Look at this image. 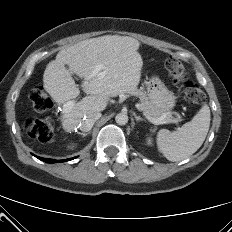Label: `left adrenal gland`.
<instances>
[{
    "instance_id": "1",
    "label": "left adrenal gland",
    "mask_w": 232,
    "mask_h": 232,
    "mask_svg": "<svg viewBox=\"0 0 232 232\" xmlns=\"http://www.w3.org/2000/svg\"><path fill=\"white\" fill-rule=\"evenodd\" d=\"M134 117H135L137 123L140 122V121L145 122V120L143 118H141L140 116H137L136 114H134Z\"/></svg>"
}]
</instances>
